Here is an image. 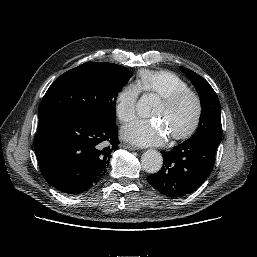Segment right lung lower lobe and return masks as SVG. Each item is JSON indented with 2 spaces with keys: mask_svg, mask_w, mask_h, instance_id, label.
Listing matches in <instances>:
<instances>
[{
  "mask_svg": "<svg viewBox=\"0 0 257 257\" xmlns=\"http://www.w3.org/2000/svg\"><path fill=\"white\" fill-rule=\"evenodd\" d=\"M114 123L70 112L39 119L34 149L46 181L67 194L95 186L106 173L111 152L117 150Z\"/></svg>",
  "mask_w": 257,
  "mask_h": 257,
  "instance_id": "right-lung-lower-lobe-1",
  "label": "right lung lower lobe"
}]
</instances>
